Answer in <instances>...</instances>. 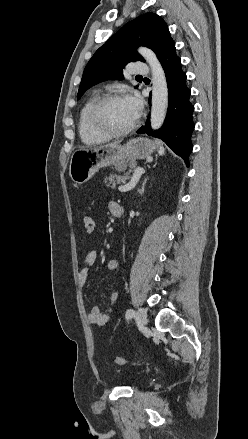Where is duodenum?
<instances>
[{
    "mask_svg": "<svg viewBox=\"0 0 248 439\" xmlns=\"http://www.w3.org/2000/svg\"><path fill=\"white\" fill-rule=\"evenodd\" d=\"M113 215H114L115 217H117V218H120V217H121V215H122V209H121L120 205L117 206V208L113 211Z\"/></svg>",
    "mask_w": 248,
    "mask_h": 439,
    "instance_id": "duodenum-1",
    "label": "duodenum"
}]
</instances>
